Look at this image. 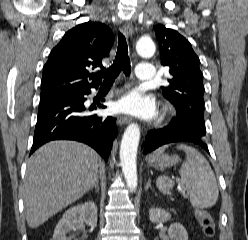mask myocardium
<instances>
[{
	"label": "myocardium",
	"instance_id": "1",
	"mask_svg": "<svg viewBox=\"0 0 248 240\" xmlns=\"http://www.w3.org/2000/svg\"><path fill=\"white\" fill-rule=\"evenodd\" d=\"M174 109L171 105H165L162 111V114L167 116L173 114Z\"/></svg>",
	"mask_w": 248,
	"mask_h": 240
}]
</instances>
